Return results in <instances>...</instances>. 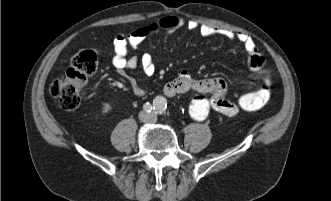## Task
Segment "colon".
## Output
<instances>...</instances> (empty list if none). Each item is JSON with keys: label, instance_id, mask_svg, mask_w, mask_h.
Masks as SVG:
<instances>
[{"label": "colon", "instance_id": "5ec220e1", "mask_svg": "<svg viewBox=\"0 0 331 201\" xmlns=\"http://www.w3.org/2000/svg\"><path fill=\"white\" fill-rule=\"evenodd\" d=\"M97 71V55L93 50H84L76 54L67 71L50 85V93L64 110L76 109L84 99L90 78ZM271 79L268 71L264 73L260 88L242 95L237 105L244 111H256L263 108L270 99Z\"/></svg>", "mask_w": 331, "mask_h": 201}]
</instances>
